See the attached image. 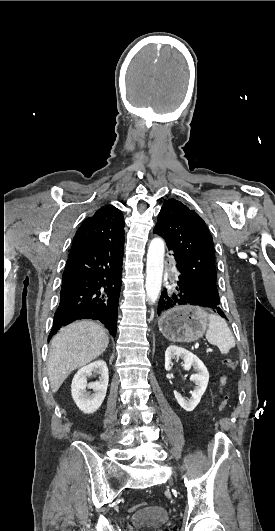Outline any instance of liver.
<instances>
[{
	"mask_svg": "<svg viewBox=\"0 0 275 531\" xmlns=\"http://www.w3.org/2000/svg\"><path fill=\"white\" fill-rule=\"evenodd\" d=\"M108 343L106 331L93 321H76L60 329L50 345L48 377L52 393L59 391L72 371L98 359Z\"/></svg>",
	"mask_w": 275,
	"mask_h": 531,
	"instance_id": "liver-1",
	"label": "liver"
}]
</instances>
